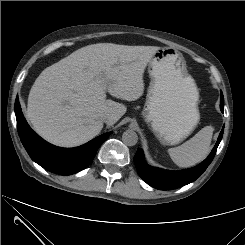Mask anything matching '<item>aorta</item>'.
Segmentation results:
<instances>
[{"mask_svg": "<svg viewBox=\"0 0 245 245\" xmlns=\"http://www.w3.org/2000/svg\"><path fill=\"white\" fill-rule=\"evenodd\" d=\"M122 141L127 146H134L138 142V135L133 130H126L122 135Z\"/></svg>", "mask_w": 245, "mask_h": 245, "instance_id": "762f6f07", "label": "aorta"}]
</instances>
